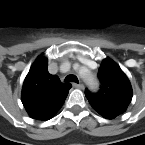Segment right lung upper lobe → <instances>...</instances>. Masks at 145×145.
<instances>
[{"label":"right lung upper lobe","mask_w":145,"mask_h":145,"mask_svg":"<svg viewBox=\"0 0 145 145\" xmlns=\"http://www.w3.org/2000/svg\"><path fill=\"white\" fill-rule=\"evenodd\" d=\"M71 87L48 72V60L40 55L24 80L22 103L32 118L48 120L61 108Z\"/></svg>","instance_id":"right-lung-upper-lobe-1"}]
</instances>
